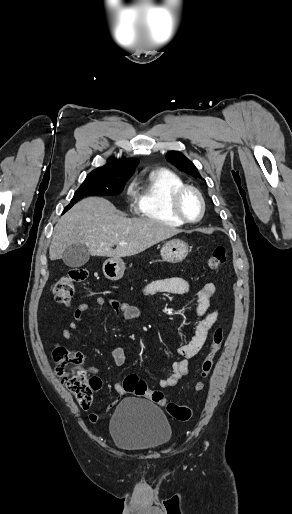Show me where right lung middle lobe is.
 <instances>
[{"label": "right lung middle lobe", "instance_id": "right-lung-middle-lobe-1", "mask_svg": "<svg viewBox=\"0 0 292 514\" xmlns=\"http://www.w3.org/2000/svg\"><path fill=\"white\" fill-rule=\"evenodd\" d=\"M128 179H103L88 177L85 179L83 184L75 192L73 199L70 204L65 208L64 211L70 209L74 203L83 197L91 195H106L115 196L122 192L125 182Z\"/></svg>", "mask_w": 292, "mask_h": 514}]
</instances>
